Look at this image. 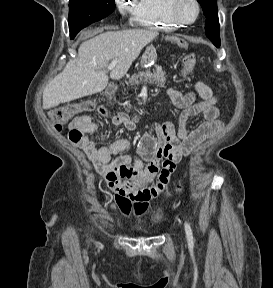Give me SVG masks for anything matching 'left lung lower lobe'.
I'll use <instances>...</instances> for the list:
<instances>
[{
	"mask_svg": "<svg viewBox=\"0 0 273 288\" xmlns=\"http://www.w3.org/2000/svg\"><path fill=\"white\" fill-rule=\"evenodd\" d=\"M215 46H216V47H219V46H220V43H219V44H215Z\"/></svg>",
	"mask_w": 273,
	"mask_h": 288,
	"instance_id": "obj_1",
	"label": "left lung lower lobe"
}]
</instances>
